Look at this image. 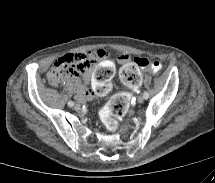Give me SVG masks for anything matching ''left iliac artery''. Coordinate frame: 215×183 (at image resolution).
<instances>
[{
  "label": "left iliac artery",
  "mask_w": 215,
  "mask_h": 183,
  "mask_svg": "<svg viewBox=\"0 0 215 183\" xmlns=\"http://www.w3.org/2000/svg\"><path fill=\"white\" fill-rule=\"evenodd\" d=\"M143 97H144L145 99H148V98H149V93H148V92H144Z\"/></svg>",
  "instance_id": "44dca946"
}]
</instances>
